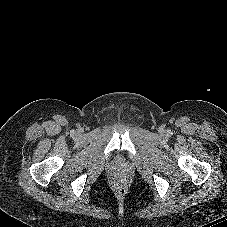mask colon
Returning <instances> with one entry per match:
<instances>
[{"label": "colon", "instance_id": "obj_1", "mask_svg": "<svg viewBox=\"0 0 227 227\" xmlns=\"http://www.w3.org/2000/svg\"><path fill=\"white\" fill-rule=\"evenodd\" d=\"M112 189L116 194L122 195L127 191L128 178L123 173H116L111 180Z\"/></svg>", "mask_w": 227, "mask_h": 227}]
</instances>
